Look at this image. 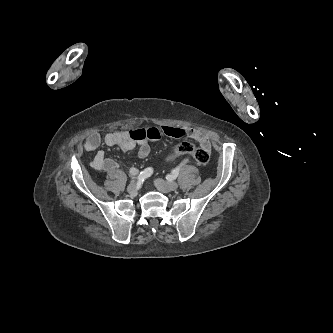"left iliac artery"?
I'll use <instances>...</instances> for the list:
<instances>
[{
    "mask_svg": "<svg viewBox=\"0 0 333 333\" xmlns=\"http://www.w3.org/2000/svg\"><path fill=\"white\" fill-rule=\"evenodd\" d=\"M180 170H181V166L176 167V168L172 171V173L169 175V177H170L171 179H176V178L178 177V175H179Z\"/></svg>",
    "mask_w": 333,
    "mask_h": 333,
    "instance_id": "left-iliac-artery-1",
    "label": "left iliac artery"
}]
</instances>
